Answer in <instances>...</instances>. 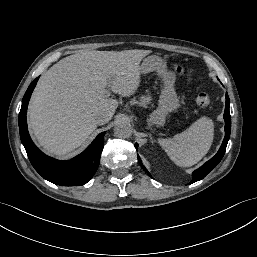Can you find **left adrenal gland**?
<instances>
[{"instance_id": "obj_1", "label": "left adrenal gland", "mask_w": 257, "mask_h": 257, "mask_svg": "<svg viewBox=\"0 0 257 257\" xmlns=\"http://www.w3.org/2000/svg\"><path fill=\"white\" fill-rule=\"evenodd\" d=\"M149 137H150V139L152 140V137H151V135H149ZM153 142V141H152Z\"/></svg>"}]
</instances>
